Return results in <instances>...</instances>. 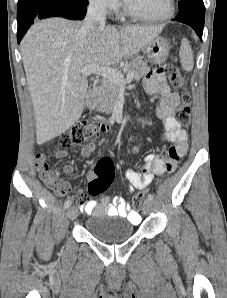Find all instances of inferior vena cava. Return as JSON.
Wrapping results in <instances>:
<instances>
[{
  "label": "inferior vena cava",
  "instance_id": "inferior-vena-cava-1",
  "mask_svg": "<svg viewBox=\"0 0 227 298\" xmlns=\"http://www.w3.org/2000/svg\"><path fill=\"white\" fill-rule=\"evenodd\" d=\"M106 13V4L103 0L91 1L87 9L82 29L84 31H91L105 27Z\"/></svg>",
  "mask_w": 227,
  "mask_h": 298
}]
</instances>
